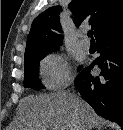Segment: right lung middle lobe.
I'll use <instances>...</instances> for the list:
<instances>
[{
  "label": "right lung middle lobe",
  "mask_w": 123,
  "mask_h": 130,
  "mask_svg": "<svg viewBox=\"0 0 123 130\" xmlns=\"http://www.w3.org/2000/svg\"><path fill=\"white\" fill-rule=\"evenodd\" d=\"M49 53L34 54L24 57V86L33 89L43 88L39 82V62Z\"/></svg>",
  "instance_id": "obj_1"
}]
</instances>
